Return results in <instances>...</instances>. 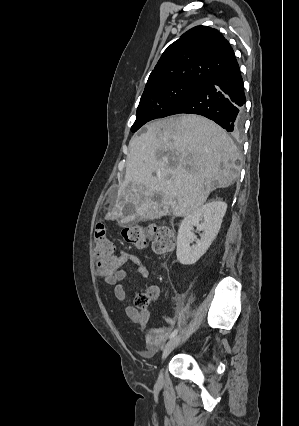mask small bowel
Here are the masks:
<instances>
[{
    "mask_svg": "<svg viewBox=\"0 0 299 426\" xmlns=\"http://www.w3.org/2000/svg\"><path fill=\"white\" fill-rule=\"evenodd\" d=\"M115 257V264L112 267H105L99 259H96V275L102 278L106 285L114 286V294L123 306L127 317L141 329H145L150 319V312L147 308L137 310L127 303V294L123 281L128 273L123 269V266L132 264L137 273L145 279L149 278V270L137 255L130 252L119 251ZM148 293L152 300H159L160 290L157 286H150ZM165 321L166 325H160L149 330L145 340V349L141 352L143 356L151 357L165 342L170 333V325L173 323V319L165 317Z\"/></svg>",
    "mask_w": 299,
    "mask_h": 426,
    "instance_id": "small-bowel-1",
    "label": "small bowel"
}]
</instances>
